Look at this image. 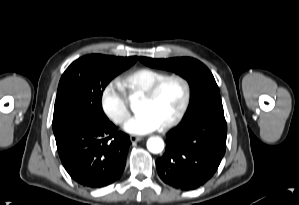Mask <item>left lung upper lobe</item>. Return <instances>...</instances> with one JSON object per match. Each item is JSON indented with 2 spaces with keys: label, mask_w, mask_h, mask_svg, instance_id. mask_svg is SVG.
Listing matches in <instances>:
<instances>
[{
  "label": "left lung upper lobe",
  "mask_w": 299,
  "mask_h": 205,
  "mask_svg": "<svg viewBox=\"0 0 299 205\" xmlns=\"http://www.w3.org/2000/svg\"><path fill=\"white\" fill-rule=\"evenodd\" d=\"M139 60L154 68L173 71L185 78L191 87V100L183 117L193 121L215 111H223L219 88L210 70L200 61L190 57Z\"/></svg>",
  "instance_id": "5c2ea615"
}]
</instances>
